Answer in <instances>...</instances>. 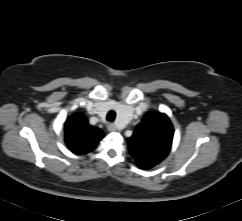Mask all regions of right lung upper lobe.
<instances>
[{
	"label": "right lung upper lobe",
	"mask_w": 242,
	"mask_h": 221,
	"mask_svg": "<svg viewBox=\"0 0 242 221\" xmlns=\"http://www.w3.org/2000/svg\"><path fill=\"white\" fill-rule=\"evenodd\" d=\"M103 137V132L90 126L81 114H74L65 124V143L75 154L91 152Z\"/></svg>",
	"instance_id": "cb5924a9"
}]
</instances>
